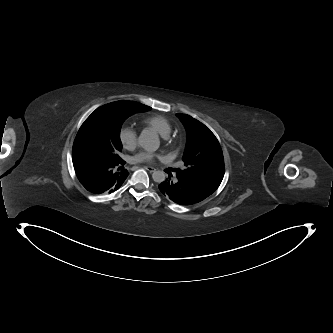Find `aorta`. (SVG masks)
<instances>
[{"label":"aorta","instance_id":"obj_1","mask_svg":"<svg viewBox=\"0 0 333 333\" xmlns=\"http://www.w3.org/2000/svg\"><path fill=\"white\" fill-rule=\"evenodd\" d=\"M138 143L146 151L152 152L159 148L160 140L155 132L144 130L138 138ZM152 178L155 182L161 183L165 180L166 176L163 171L158 170L153 172Z\"/></svg>","mask_w":333,"mask_h":333}]
</instances>
